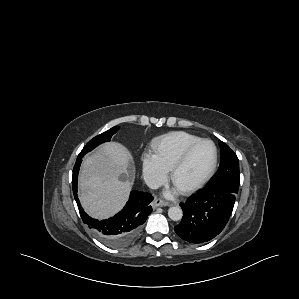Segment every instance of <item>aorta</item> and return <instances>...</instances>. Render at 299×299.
<instances>
[{
    "label": "aorta",
    "mask_w": 299,
    "mask_h": 299,
    "mask_svg": "<svg viewBox=\"0 0 299 299\" xmlns=\"http://www.w3.org/2000/svg\"><path fill=\"white\" fill-rule=\"evenodd\" d=\"M168 216L173 221H179L183 217V211L180 207L173 206L168 209Z\"/></svg>",
    "instance_id": "762f6f07"
}]
</instances>
